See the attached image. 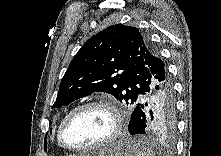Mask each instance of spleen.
Masks as SVG:
<instances>
[{
	"instance_id": "1",
	"label": "spleen",
	"mask_w": 221,
	"mask_h": 156,
	"mask_svg": "<svg viewBox=\"0 0 221 156\" xmlns=\"http://www.w3.org/2000/svg\"><path fill=\"white\" fill-rule=\"evenodd\" d=\"M129 145L133 152V156H154L153 152L142 145L140 141H129Z\"/></svg>"
}]
</instances>
